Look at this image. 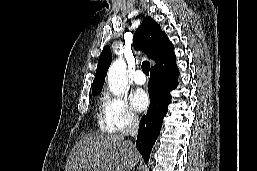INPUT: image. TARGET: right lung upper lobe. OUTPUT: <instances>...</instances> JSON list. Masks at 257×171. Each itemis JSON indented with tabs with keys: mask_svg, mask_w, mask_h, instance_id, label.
I'll use <instances>...</instances> for the list:
<instances>
[{
	"mask_svg": "<svg viewBox=\"0 0 257 171\" xmlns=\"http://www.w3.org/2000/svg\"><path fill=\"white\" fill-rule=\"evenodd\" d=\"M133 43L135 48L143 49L148 57L156 62L155 66L169 64L176 60L173 44L161 30L160 25L151 17L147 16L143 19L141 26L135 32ZM111 61L110 47L105 46L99 57L92 94L101 92Z\"/></svg>",
	"mask_w": 257,
	"mask_h": 171,
	"instance_id": "1",
	"label": "right lung upper lobe"
}]
</instances>
